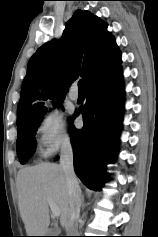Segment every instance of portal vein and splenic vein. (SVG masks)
<instances>
[{"label": "portal vein and splenic vein", "instance_id": "1", "mask_svg": "<svg viewBox=\"0 0 158 237\" xmlns=\"http://www.w3.org/2000/svg\"><path fill=\"white\" fill-rule=\"evenodd\" d=\"M48 203H49L53 216L59 217L60 216L59 208L54 204V202L51 199H48Z\"/></svg>", "mask_w": 158, "mask_h": 237}]
</instances>
